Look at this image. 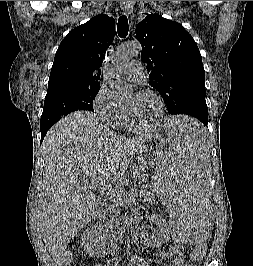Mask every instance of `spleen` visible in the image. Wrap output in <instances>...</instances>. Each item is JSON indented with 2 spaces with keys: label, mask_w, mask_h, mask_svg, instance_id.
I'll use <instances>...</instances> for the list:
<instances>
[{
  "label": "spleen",
  "mask_w": 253,
  "mask_h": 266,
  "mask_svg": "<svg viewBox=\"0 0 253 266\" xmlns=\"http://www.w3.org/2000/svg\"><path fill=\"white\" fill-rule=\"evenodd\" d=\"M166 145L153 161L149 190L168 210L173 248H202L210 241L216 207H209V147L191 115L164 118Z\"/></svg>",
  "instance_id": "obj_1"
}]
</instances>
